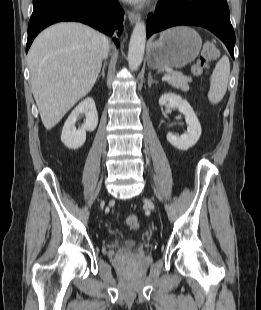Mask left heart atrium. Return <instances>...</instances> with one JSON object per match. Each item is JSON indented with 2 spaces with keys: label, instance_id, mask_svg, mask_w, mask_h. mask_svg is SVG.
<instances>
[{
  "label": "left heart atrium",
  "instance_id": "obj_1",
  "mask_svg": "<svg viewBox=\"0 0 261 310\" xmlns=\"http://www.w3.org/2000/svg\"><path fill=\"white\" fill-rule=\"evenodd\" d=\"M124 1L130 2V3H139V2H142L144 0H124Z\"/></svg>",
  "mask_w": 261,
  "mask_h": 310
}]
</instances>
